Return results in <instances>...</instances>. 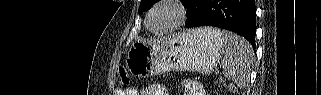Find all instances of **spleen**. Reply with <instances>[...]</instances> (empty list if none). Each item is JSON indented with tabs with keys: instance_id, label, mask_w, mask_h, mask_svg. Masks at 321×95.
<instances>
[{
	"instance_id": "3e777b00",
	"label": "spleen",
	"mask_w": 321,
	"mask_h": 95,
	"mask_svg": "<svg viewBox=\"0 0 321 95\" xmlns=\"http://www.w3.org/2000/svg\"><path fill=\"white\" fill-rule=\"evenodd\" d=\"M208 37L223 44V74L238 86H245L253 62V49L244 38L228 31L221 32L216 28L200 29Z\"/></svg>"
}]
</instances>
